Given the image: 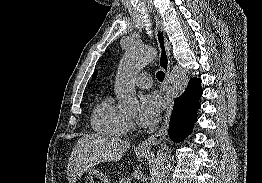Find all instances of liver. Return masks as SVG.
I'll use <instances>...</instances> for the list:
<instances>
[{
	"label": "liver",
	"mask_w": 262,
	"mask_h": 183,
	"mask_svg": "<svg viewBox=\"0 0 262 183\" xmlns=\"http://www.w3.org/2000/svg\"><path fill=\"white\" fill-rule=\"evenodd\" d=\"M130 147L128 141L105 134H87L75 145L68 160L69 183H75L85 172L102 162L119 161Z\"/></svg>",
	"instance_id": "6515ba94"
}]
</instances>
